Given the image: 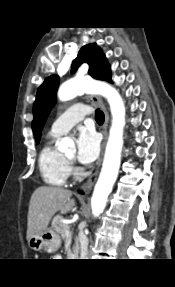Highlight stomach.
I'll list each match as a JSON object with an SVG mask.
<instances>
[{
	"label": "stomach",
	"instance_id": "stomach-1",
	"mask_svg": "<svg viewBox=\"0 0 175 287\" xmlns=\"http://www.w3.org/2000/svg\"><path fill=\"white\" fill-rule=\"evenodd\" d=\"M60 244L61 239L58 233L49 228L38 232L28 240V245L31 249L35 251L45 250L48 253L56 252Z\"/></svg>",
	"mask_w": 175,
	"mask_h": 287
}]
</instances>
